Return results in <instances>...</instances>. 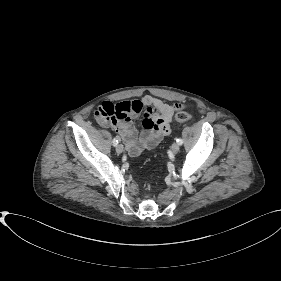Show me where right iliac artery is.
Masks as SVG:
<instances>
[{
  "mask_svg": "<svg viewBox=\"0 0 281 281\" xmlns=\"http://www.w3.org/2000/svg\"><path fill=\"white\" fill-rule=\"evenodd\" d=\"M117 144H118V138H114V139H113V145H114V146H117Z\"/></svg>",
  "mask_w": 281,
  "mask_h": 281,
  "instance_id": "obj_1",
  "label": "right iliac artery"
}]
</instances>
